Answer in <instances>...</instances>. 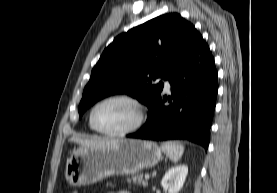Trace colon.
<instances>
[{"instance_id":"5ec220e1","label":"colon","mask_w":277,"mask_h":193,"mask_svg":"<svg viewBox=\"0 0 277 193\" xmlns=\"http://www.w3.org/2000/svg\"><path fill=\"white\" fill-rule=\"evenodd\" d=\"M72 193H78L77 191H74V192H72Z\"/></svg>"}]
</instances>
